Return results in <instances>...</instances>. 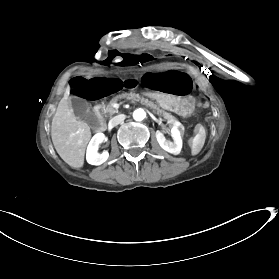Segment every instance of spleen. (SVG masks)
I'll return each mask as SVG.
<instances>
[{"label":"spleen","instance_id":"1","mask_svg":"<svg viewBox=\"0 0 279 279\" xmlns=\"http://www.w3.org/2000/svg\"><path fill=\"white\" fill-rule=\"evenodd\" d=\"M205 131L202 128H199L197 130V135H195L190 140V149H191V155H196L200 149L203 147L204 141H205Z\"/></svg>","mask_w":279,"mask_h":279}]
</instances>
